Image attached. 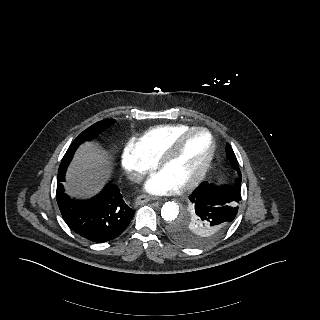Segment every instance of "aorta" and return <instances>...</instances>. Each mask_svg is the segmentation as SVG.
Returning <instances> with one entry per match:
<instances>
[{
	"instance_id": "762f6f07",
	"label": "aorta",
	"mask_w": 320,
	"mask_h": 320,
	"mask_svg": "<svg viewBox=\"0 0 320 320\" xmlns=\"http://www.w3.org/2000/svg\"><path fill=\"white\" fill-rule=\"evenodd\" d=\"M179 214V206L173 202H166L161 208V216L166 221H173Z\"/></svg>"
}]
</instances>
